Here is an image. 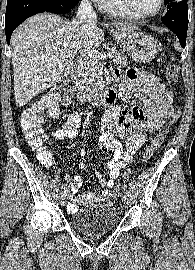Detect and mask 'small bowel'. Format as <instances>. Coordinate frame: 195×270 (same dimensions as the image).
Listing matches in <instances>:
<instances>
[{"instance_id":"c3829d8e","label":"small bowel","mask_w":195,"mask_h":270,"mask_svg":"<svg viewBox=\"0 0 195 270\" xmlns=\"http://www.w3.org/2000/svg\"><path fill=\"white\" fill-rule=\"evenodd\" d=\"M114 77L121 84V96L133 95L144 104V108L116 104L107 111L104 133L100 137V149L111 156L107 164L108 178L104 179L101 173L96 172L95 176L100 180L102 189L78 194L82 178L74 176L69 184L70 201L67 210L70 213H75L79 204L111 202L114 199L111 189L120 175V169L131 162L148 134L159 129L173 112L172 93L160 77L136 69H129L125 73L115 72ZM80 124V112L74 111L69 114L63 127L52 132V136L57 140L80 138ZM122 143H125L126 149H123ZM80 152L82 156L85 155L84 143Z\"/></svg>"}]
</instances>
